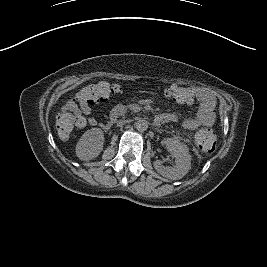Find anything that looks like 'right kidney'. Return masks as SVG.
Here are the masks:
<instances>
[{
  "mask_svg": "<svg viewBox=\"0 0 267 267\" xmlns=\"http://www.w3.org/2000/svg\"><path fill=\"white\" fill-rule=\"evenodd\" d=\"M104 133L100 128L87 130L76 144V156L83 161L96 158L103 150Z\"/></svg>",
  "mask_w": 267,
  "mask_h": 267,
  "instance_id": "ca27d5eb",
  "label": "right kidney"
}]
</instances>
